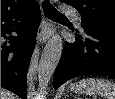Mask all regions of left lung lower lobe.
Here are the masks:
<instances>
[{
    "mask_svg": "<svg viewBox=\"0 0 115 99\" xmlns=\"http://www.w3.org/2000/svg\"><path fill=\"white\" fill-rule=\"evenodd\" d=\"M75 42H65L54 76V88L71 78L87 75L115 77V33L83 28Z\"/></svg>",
    "mask_w": 115,
    "mask_h": 99,
    "instance_id": "left-lung-lower-lobe-1",
    "label": "left lung lower lobe"
}]
</instances>
